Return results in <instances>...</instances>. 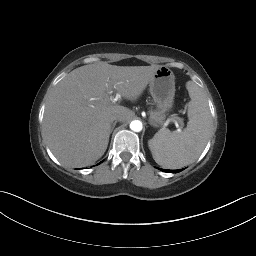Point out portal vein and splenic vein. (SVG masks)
Instances as JSON below:
<instances>
[{"instance_id": "1", "label": "portal vein and splenic vein", "mask_w": 256, "mask_h": 256, "mask_svg": "<svg viewBox=\"0 0 256 256\" xmlns=\"http://www.w3.org/2000/svg\"><path fill=\"white\" fill-rule=\"evenodd\" d=\"M173 119H174L175 122H178V123L181 124V125L183 124V119H182V118H180V117H174ZM150 124H151L152 126H156V125L153 124V123H150ZM177 131L180 132V129H178Z\"/></svg>"}]
</instances>
